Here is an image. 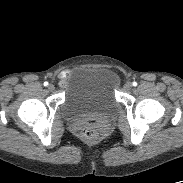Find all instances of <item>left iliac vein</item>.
I'll use <instances>...</instances> for the list:
<instances>
[{"instance_id": "left-iliac-vein-1", "label": "left iliac vein", "mask_w": 183, "mask_h": 183, "mask_svg": "<svg viewBox=\"0 0 183 183\" xmlns=\"http://www.w3.org/2000/svg\"><path fill=\"white\" fill-rule=\"evenodd\" d=\"M132 87H133V84H132L131 82H126V83H125V88H126L127 90L132 89Z\"/></svg>"}]
</instances>
